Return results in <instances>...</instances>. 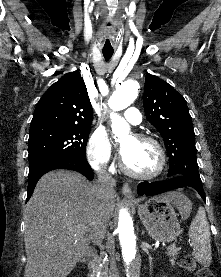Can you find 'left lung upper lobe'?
Segmentation results:
<instances>
[{
    "label": "left lung upper lobe",
    "instance_id": "5c2ea615",
    "mask_svg": "<svg viewBox=\"0 0 221 277\" xmlns=\"http://www.w3.org/2000/svg\"><path fill=\"white\" fill-rule=\"evenodd\" d=\"M143 106L146 118L164 140L170 159L168 177L200 178L195 134L184 97L167 82L147 74Z\"/></svg>",
    "mask_w": 221,
    "mask_h": 277
}]
</instances>
